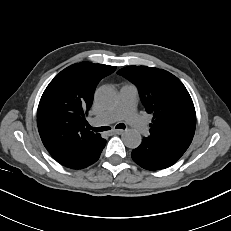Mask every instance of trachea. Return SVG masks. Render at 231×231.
<instances>
[{
  "instance_id": "1",
  "label": "trachea",
  "mask_w": 231,
  "mask_h": 231,
  "mask_svg": "<svg viewBox=\"0 0 231 231\" xmlns=\"http://www.w3.org/2000/svg\"><path fill=\"white\" fill-rule=\"evenodd\" d=\"M86 126L88 129L93 130L94 132H103L111 129L109 126L92 127L89 124H87ZM125 128L126 126L123 123H120L116 126V129H125Z\"/></svg>"
}]
</instances>
